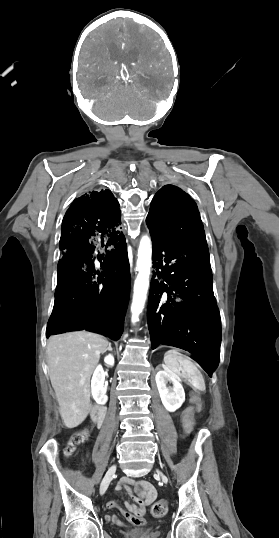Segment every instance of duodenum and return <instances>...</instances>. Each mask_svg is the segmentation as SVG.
<instances>
[{
  "label": "duodenum",
  "mask_w": 279,
  "mask_h": 538,
  "mask_svg": "<svg viewBox=\"0 0 279 538\" xmlns=\"http://www.w3.org/2000/svg\"><path fill=\"white\" fill-rule=\"evenodd\" d=\"M104 410H106V405H101V408L99 404L93 405V409L91 411V417L93 418V422L95 423L94 427L96 429L103 428V423H105Z\"/></svg>",
  "instance_id": "obj_1"
}]
</instances>
